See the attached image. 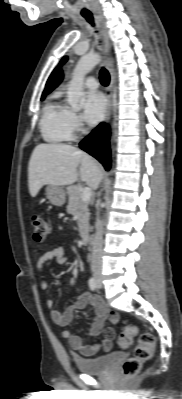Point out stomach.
Returning a JSON list of instances; mask_svg holds the SVG:
<instances>
[{
  "label": "stomach",
  "instance_id": "stomach-1",
  "mask_svg": "<svg viewBox=\"0 0 182 399\" xmlns=\"http://www.w3.org/2000/svg\"><path fill=\"white\" fill-rule=\"evenodd\" d=\"M45 193L51 204L55 206H63L66 202V193L61 186L48 185Z\"/></svg>",
  "mask_w": 182,
  "mask_h": 399
}]
</instances>
